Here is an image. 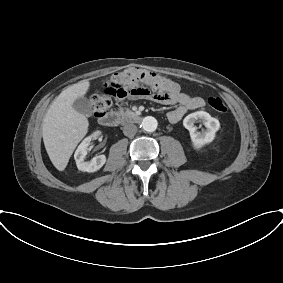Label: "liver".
I'll return each instance as SVG.
<instances>
[{
  "label": "liver",
  "mask_w": 283,
  "mask_h": 283,
  "mask_svg": "<svg viewBox=\"0 0 283 283\" xmlns=\"http://www.w3.org/2000/svg\"><path fill=\"white\" fill-rule=\"evenodd\" d=\"M88 80L71 85L54 100L42 124L43 142L47 154L59 171H63L78 143L88 132L89 121L73 108L74 101L83 97Z\"/></svg>",
  "instance_id": "1"
}]
</instances>
